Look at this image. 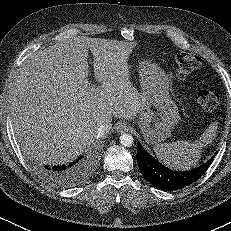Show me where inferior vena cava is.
Wrapping results in <instances>:
<instances>
[{"mask_svg":"<svg viewBox=\"0 0 231 231\" xmlns=\"http://www.w3.org/2000/svg\"><path fill=\"white\" fill-rule=\"evenodd\" d=\"M111 126L112 125L110 123L100 125L97 131V138L104 136L110 130Z\"/></svg>","mask_w":231,"mask_h":231,"instance_id":"602c4592","label":"inferior vena cava"}]
</instances>
